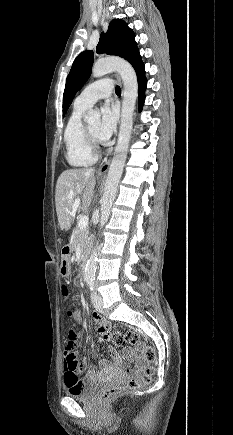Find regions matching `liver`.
Returning a JSON list of instances; mask_svg holds the SVG:
<instances>
[{"instance_id":"liver-1","label":"liver","mask_w":233,"mask_h":435,"mask_svg":"<svg viewBox=\"0 0 233 435\" xmlns=\"http://www.w3.org/2000/svg\"><path fill=\"white\" fill-rule=\"evenodd\" d=\"M95 170L69 169L62 172L56 184V212L61 230L68 231L77 210H87L94 194ZM81 196V203L74 206V199Z\"/></svg>"}]
</instances>
